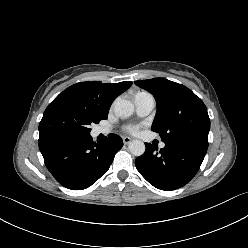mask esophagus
<instances>
[{"label": "esophagus", "instance_id": "obj_1", "mask_svg": "<svg viewBox=\"0 0 248 248\" xmlns=\"http://www.w3.org/2000/svg\"><path fill=\"white\" fill-rule=\"evenodd\" d=\"M131 141H132V138L127 137V136L123 137V143L124 144H129Z\"/></svg>", "mask_w": 248, "mask_h": 248}]
</instances>
